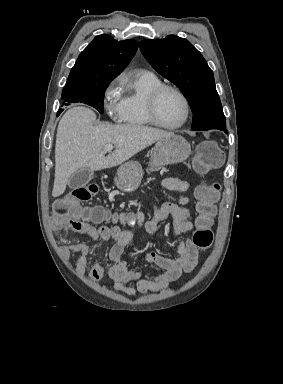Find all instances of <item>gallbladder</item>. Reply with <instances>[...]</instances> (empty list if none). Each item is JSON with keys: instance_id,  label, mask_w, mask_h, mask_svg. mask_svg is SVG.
I'll list each match as a JSON object with an SVG mask.
<instances>
[{"instance_id": "gallbladder-1", "label": "gallbladder", "mask_w": 283, "mask_h": 384, "mask_svg": "<svg viewBox=\"0 0 283 384\" xmlns=\"http://www.w3.org/2000/svg\"><path fill=\"white\" fill-rule=\"evenodd\" d=\"M92 178V172L90 170H78L77 174H74L72 178H70L68 182L69 188H72L73 186H80L81 188H84L88 182H90Z\"/></svg>"}]
</instances>
